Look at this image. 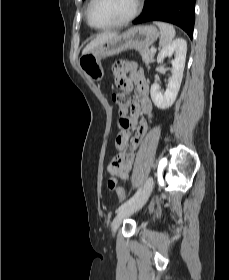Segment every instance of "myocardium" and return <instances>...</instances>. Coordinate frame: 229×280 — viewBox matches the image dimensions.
Returning a JSON list of instances; mask_svg holds the SVG:
<instances>
[{
  "label": "myocardium",
  "mask_w": 229,
  "mask_h": 280,
  "mask_svg": "<svg viewBox=\"0 0 229 280\" xmlns=\"http://www.w3.org/2000/svg\"><path fill=\"white\" fill-rule=\"evenodd\" d=\"M97 2H98V0H92L91 5L88 10L87 19H88V23L91 27H93L95 29H99V30L113 28V27H119V26L130 23L139 15V13L142 10V6H143V0H135V7L129 16H127L124 19H121L119 21L109 23L106 25H96L92 21V13H93L94 7L97 4Z\"/></svg>",
  "instance_id": "1"
}]
</instances>
